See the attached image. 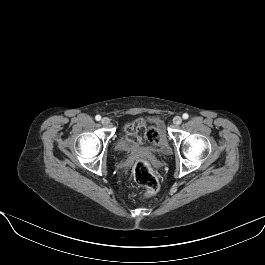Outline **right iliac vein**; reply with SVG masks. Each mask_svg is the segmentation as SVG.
<instances>
[{
    "instance_id": "63e3f726",
    "label": "right iliac vein",
    "mask_w": 265,
    "mask_h": 265,
    "mask_svg": "<svg viewBox=\"0 0 265 265\" xmlns=\"http://www.w3.org/2000/svg\"><path fill=\"white\" fill-rule=\"evenodd\" d=\"M101 123H102L104 126H107V125H109V123H110V119H109L108 117H104V118H102Z\"/></svg>"
}]
</instances>
